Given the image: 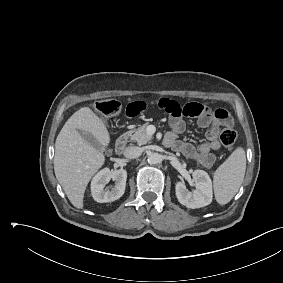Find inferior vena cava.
<instances>
[{
    "label": "inferior vena cava",
    "instance_id": "602c4592",
    "mask_svg": "<svg viewBox=\"0 0 283 283\" xmlns=\"http://www.w3.org/2000/svg\"><path fill=\"white\" fill-rule=\"evenodd\" d=\"M142 154V149L137 146H129L124 150V156L128 159L138 158Z\"/></svg>",
    "mask_w": 283,
    "mask_h": 283
}]
</instances>
